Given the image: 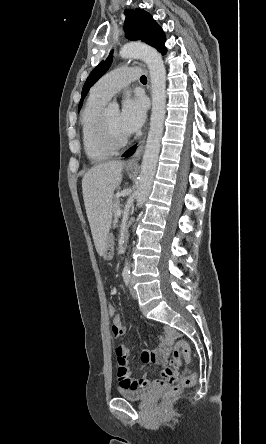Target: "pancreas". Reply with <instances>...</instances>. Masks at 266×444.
<instances>
[{
    "instance_id": "pancreas-1",
    "label": "pancreas",
    "mask_w": 266,
    "mask_h": 444,
    "mask_svg": "<svg viewBox=\"0 0 266 444\" xmlns=\"http://www.w3.org/2000/svg\"><path fill=\"white\" fill-rule=\"evenodd\" d=\"M120 206V202H119V200L118 199H115L114 201H113V204H112V211H113V213H114V220L116 221L117 219H118V216H117V209H118V207Z\"/></svg>"
}]
</instances>
